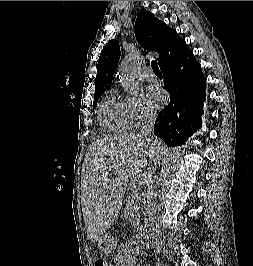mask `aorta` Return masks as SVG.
Wrapping results in <instances>:
<instances>
[{
  "mask_svg": "<svg viewBox=\"0 0 253 266\" xmlns=\"http://www.w3.org/2000/svg\"><path fill=\"white\" fill-rule=\"evenodd\" d=\"M119 72L125 90L130 94L135 93L139 89V81L136 77V63L131 56L122 61Z\"/></svg>",
  "mask_w": 253,
  "mask_h": 266,
  "instance_id": "1",
  "label": "aorta"
}]
</instances>
